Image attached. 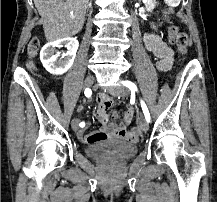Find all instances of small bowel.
I'll list each match as a JSON object with an SVG mask.
<instances>
[{
  "mask_svg": "<svg viewBox=\"0 0 217 202\" xmlns=\"http://www.w3.org/2000/svg\"><path fill=\"white\" fill-rule=\"evenodd\" d=\"M147 49L152 52L158 59V68L160 70H168L173 62L172 50L157 36L147 35L144 38ZM109 97L105 94H100L97 98L96 108L98 119L104 123L103 127L98 130L85 135L83 132H78L77 136L81 142L84 143H98L106 138L119 139L137 143L142 135V131H129V125L134 117V108L128 107L124 114L123 120L119 125L109 122L117 117V113L113 106L114 101H103ZM101 109L102 112L101 113Z\"/></svg>",
  "mask_w": 217,
  "mask_h": 202,
  "instance_id": "obj_1",
  "label": "small bowel"
}]
</instances>
